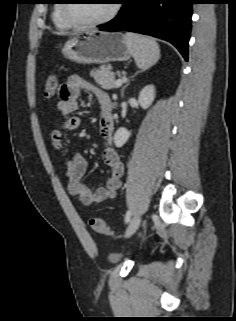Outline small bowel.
Wrapping results in <instances>:
<instances>
[{
    "instance_id": "c3829d8e",
    "label": "small bowel",
    "mask_w": 236,
    "mask_h": 321,
    "mask_svg": "<svg viewBox=\"0 0 236 321\" xmlns=\"http://www.w3.org/2000/svg\"><path fill=\"white\" fill-rule=\"evenodd\" d=\"M83 90L93 94L99 101L101 134L108 144L102 152V159L110 169V176L106 186L96 189L83 182L87 170L85 157L75 149L70 153L65 150L63 130H75L81 124L80 118L69 115L78 109L79 97ZM110 101L111 98L104 89L78 75L69 76L59 89L57 109L66 118L60 128L51 132V143L64 158L68 194L84 205H99L115 199L124 173L123 163L112 147L114 120L108 108Z\"/></svg>"
}]
</instances>
